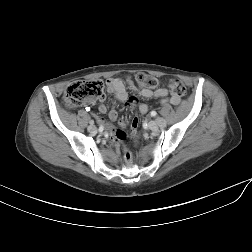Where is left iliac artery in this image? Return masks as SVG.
Masks as SVG:
<instances>
[{"instance_id": "1", "label": "left iliac artery", "mask_w": 252, "mask_h": 252, "mask_svg": "<svg viewBox=\"0 0 252 252\" xmlns=\"http://www.w3.org/2000/svg\"><path fill=\"white\" fill-rule=\"evenodd\" d=\"M156 114H157V113H156L155 111H152V112H151V116H156Z\"/></svg>"}]
</instances>
